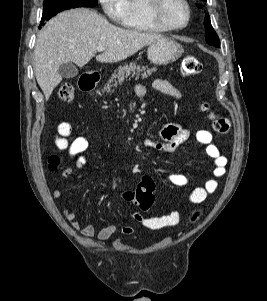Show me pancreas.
Segmentation results:
<instances>
[{"mask_svg":"<svg viewBox=\"0 0 267 301\" xmlns=\"http://www.w3.org/2000/svg\"><path fill=\"white\" fill-rule=\"evenodd\" d=\"M153 71H155V68L148 69L147 67L137 65L136 63H129L119 66L118 69L112 74V77L104 86L103 90L107 93H113L115 88L122 84L129 76L133 78L135 77V79H138L139 77L145 79Z\"/></svg>","mask_w":267,"mask_h":301,"instance_id":"cf45deb5","label":"pancreas"}]
</instances>
